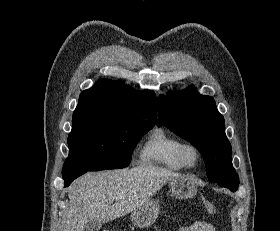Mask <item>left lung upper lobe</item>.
I'll return each mask as SVG.
<instances>
[{
	"mask_svg": "<svg viewBox=\"0 0 280 231\" xmlns=\"http://www.w3.org/2000/svg\"><path fill=\"white\" fill-rule=\"evenodd\" d=\"M158 126L165 125L195 146L203 156L208 180L213 183L236 176L225 122L210 96L198 95L193 86L159 97Z\"/></svg>",
	"mask_w": 280,
	"mask_h": 231,
	"instance_id": "left-lung-upper-lobe-1",
	"label": "left lung upper lobe"
}]
</instances>
